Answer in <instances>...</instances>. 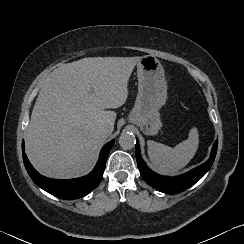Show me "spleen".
I'll return each instance as SVG.
<instances>
[{"label":"spleen","instance_id":"1","mask_svg":"<svg viewBox=\"0 0 244 244\" xmlns=\"http://www.w3.org/2000/svg\"><path fill=\"white\" fill-rule=\"evenodd\" d=\"M198 144V131L193 127L189 132L188 139L174 148L148 140V156L156 170L163 174H175L191 161L198 149Z\"/></svg>","mask_w":244,"mask_h":244}]
</instances>
